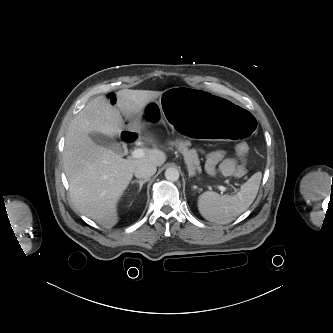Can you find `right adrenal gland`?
I'll return each instance as SVG.
<instances>
[{
	"instance_id": "obj_1",
	"label": "right adrenal gland",
	"mask_w": 333,
	"mask_h": 333,
	"mask_svg": "<svg viewBox=\"0 0 333 333\" xmlns=\"http://www.w3.org/2000/svg\"><path fill=\"white\" fill-rule=\"evenodd\" d=\"M148 181H149V179H145V180H133V181H131V184H134V183L139 184V192H140L141 189H142L143 184H145Z\"/></svg>"
}]
</instances>
